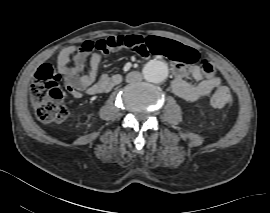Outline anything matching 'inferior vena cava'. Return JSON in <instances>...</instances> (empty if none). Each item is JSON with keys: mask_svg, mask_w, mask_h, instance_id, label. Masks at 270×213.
I'll list each match as a JSON object with an SVG mask.
<instances>
[{"mask_svg": "<svg viewBox=\"0 0 270 213\" xmlns=\"http://www.w3.org/2000/svg\"><path fill=\"white\" fill-rule=\"evenodd\" d=\"M141 80H142V75H141V73H139L137 71L130 72L126 76V81L128 83L139 82Z\"/></svg>", "mask_w": 270, "mask_h": 213, "instance_id": "obj_1", "label": "inferior vena cava"}]
</instances>
